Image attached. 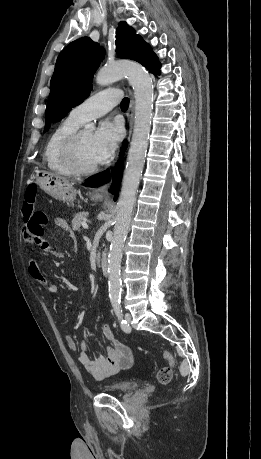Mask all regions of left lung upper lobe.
<instances>
[{
  "instance_id": "obj_1",
  "label": "left lung upper lobe",
  "mask_w": 261,
  "mask_h": 459,
  "mask_svg": "<svg viewBox=\"0 0 261 459\" xmlns=\"http://www.w3.org/2000/svg\"><path fill=\"white\" fill-rule=\"evenodd\" d=\"M116 52L120 58L141 63L151 73L161 66L150 45L125 22H120L116 30ZM103 57V49L87 37L71 42L59 54L51 78L44 132L89 96L93 75Z\"/></svg>"
}]
</instances>
